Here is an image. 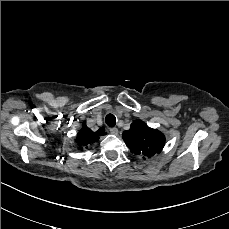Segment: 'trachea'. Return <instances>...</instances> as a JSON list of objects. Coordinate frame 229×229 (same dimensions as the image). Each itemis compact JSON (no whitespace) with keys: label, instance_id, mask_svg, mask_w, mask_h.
I'll return each instance as SVG.
<instances>
[{"label":"trachea","instance_id":"3493384b","mask_svg":"<svg viewBox=\"0 0 229 229\" xmlns=\"http://www.w3.org/2000/svg\"><path fill=\"white\" fill-rule=\"evenodd\" d=\"M108 127L113 128L116 124V117L113 114H108L105 118Z\"/></svg>","mask_w":229,"mask_h":229}]
</instances>
